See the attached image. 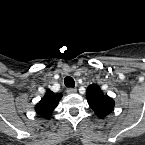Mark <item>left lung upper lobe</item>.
<instances>
[{
    "mask_svg": "<svg viewBox=\"0 0 145 145\" xmlns=\"http://www.w3.org/2000/svg\"><path fill=\"white\" fill-rule=\"evenodd\" d=\"M86 97L90 107L100 118L106 117L114 109V100L104 95L100 87L96 84L88 86Z\"/></svg>",
    "mask_w": 145,
    "mask_h": 145,
    "instance_id": "5c2ea615",
    "label": "left lung upper lobe"
}]
</instances>
